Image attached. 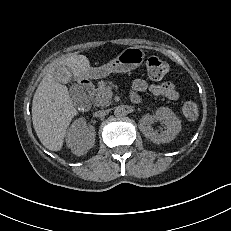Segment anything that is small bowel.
Instances as JSON below:
<instances>
[{
    "instance_id": "c3829d8e",
    "label": "small bowel",
    "mask_w": 231,
    "mask_h": 231,
    "mask_svg": "<svg viewBox=\"0 0 231 231\" xmlns=\"http://www.w3.org/2000/svg\"><path fill=\"white\" fill-rule=\"evenodd\" d=\"M145 91H149L156 96H162L168 100H177L179 97L176 86L171 82L148 84L144 79L133 81L132 94L134 99H138V93Z\"/></svg>"
}]
</instances>
